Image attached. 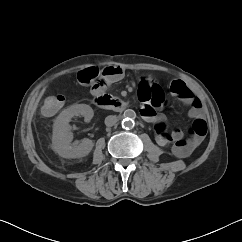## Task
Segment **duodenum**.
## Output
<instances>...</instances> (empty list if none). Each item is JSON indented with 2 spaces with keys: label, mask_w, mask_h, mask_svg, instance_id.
Here are the masks:
<instances>
[{
  "label": "duodenum",
  "mask_w": 242,
  "mask_h": 242,
  "mask_svg": "<svg viewBox=\"0 0 242 242\" xmlns=\"http://www.w3.org/2000/svg\"><path fill=\"white\" fill-rule=\"evenodd\" d=\"M93 102L101 109L123 111L128 107L126 101L111 97L104 92L94 93Z\"/></svg>",
  "instance_id": "duodenum-1"
}]
</instances>
